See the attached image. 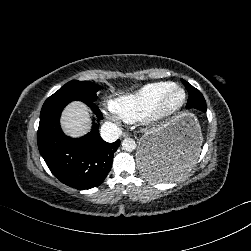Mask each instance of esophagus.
I'll return each instance as SVG.
<instances>
[{"label": "esophagus", "mask_w": 251, "mask_h": 251, "mask_svg": "<svg viewBox=\"0 0 251 251\" xmlns=\"http://www.w3.org/2000/svg\"><path fill=\"white\" fill-rule=\"evenodd\" d=\"M130 135H129V133H124L123 134V137H129Z\"/></svg>", "instance_id": "1"}]
</instances>
